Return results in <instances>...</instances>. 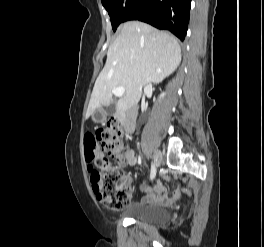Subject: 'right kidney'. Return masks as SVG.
<instances>
[{"label": "right kidney", "mask_w": 264, "mask_h": 247, "mask_svg": "<svg viewBox=\"0 0 264 247\" xmlns=\"http://www.w3.org/2000/svg\"><path fill=\"white\" fill-rule=\"evenodd\" d=\"M164 95H165L164 93H163V94H161V95H160V98H163V97H164Z\"/></svg>", "instance_id": "obj_1"}]
</instances>
